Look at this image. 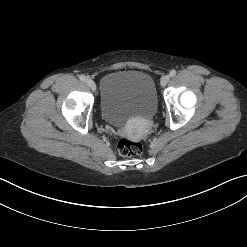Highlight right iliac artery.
Listing matches in <instances>:
<instances>
[{"label": "right iliac artery", "mask_w": 247, "mask_h": 247, "mask_svg": "<svg viewBox=\"0 0 247 247\" xmlns=\"http://www.w3.org/2000/svg\"><path fill=\"white\" fill-rule=\"evenodd\" d=\"M79 79L81 80V81H86V77L84 76V75H79Z\"/></svg>", "instance_id": "obj_1"}]
</instances>
